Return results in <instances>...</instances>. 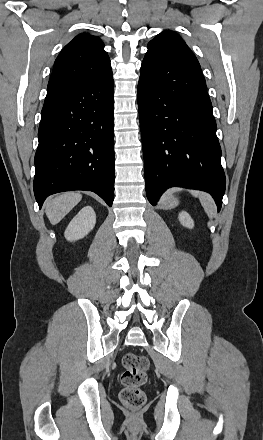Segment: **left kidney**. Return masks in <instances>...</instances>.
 <instances>
[{"instance_id":"1","label":"left kidney","mask_w":263,"mask_h":440,"mask_svg":"<svg viewBox=\"0 0 263 440\" xmlns=\"http://www.w3.org/2000/svg\"><path fill=\"white\" fill-rule=\"evenodd\" d=\"M178 218H179L180 223L184 227H187L189 229H192L194 227V221L187 212L182 211L181 213H179Z\"/></svg>"}]
</instances>
